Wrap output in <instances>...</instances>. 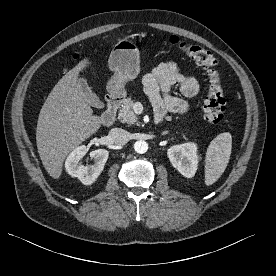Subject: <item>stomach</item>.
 <instances>
[{"instance_id":"stomach-1","label":"stomach","mask_w":276,"mask_h":276,"mask_svg":"<svg viewBox=\"0 0 276 276\" xmlns=\"http://www.w3.org/2000/svg\"><path fill=\"white\" fill-rule=\"evenodd\" d=\"M139 50L132 41L120 40L111 51L108 66L114 75L107 83L108 93L115 97L125 93V84L139 73Z\"/></svg>"}]
</instances>
